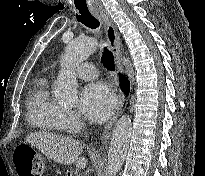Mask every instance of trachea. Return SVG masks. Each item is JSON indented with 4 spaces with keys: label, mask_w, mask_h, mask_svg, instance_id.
<instances>
[{
    "label": "trachea",
    "mask_w": 205,
    "mask_h": 176,
    "mask_svg": "<svg viewBox=\"0 0 205 176\" xmlns=\"http://www.w3.org/2000/svg\"><path fill=\"white\" fill-rule=\"evenodd\" d=\"M80 15L77 16V19L81 21L85 26L90 29H96L100 26L98 19H96L88 9L79 10ZM103 65L109 69L110 71L115 70V65L113 61L112 53L104 47L102 57H101Z\"/></svg>",
    "instance_id": "1"
}]
</instances>
